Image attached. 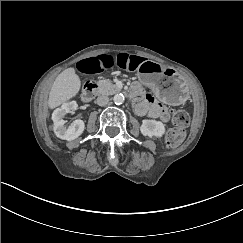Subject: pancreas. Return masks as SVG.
Returning <instances> with one entry per match:
<instances>
[{
    "label": "pancreas",
    "mask_w": 243,
    "mask_h": 243,
    "mask_svg": "<svg viewBox=\"0 0 243 243\" xmlns=\"http://www.w3.org/2000/svg\"><path fill=\"white\" fill-rule=\"evenodd\" d=\"M98 88L100 93L113 94L116 91H120V88L113 84L110 80L98 81Z\"/></svg>",
    "instance_id": "obj_1"
}]
</instances>
